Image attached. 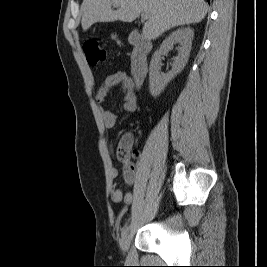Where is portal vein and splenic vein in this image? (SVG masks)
I'll return each instance as SVG.
<instances>
[{
    "label": "portal vein and splenic vein",
    "mask_w": 267,
    "mask_h": 267,
    "mask_svg": "<svg viewBox=\"0 0 267 267\" xmlns=\"http://www.w3.org/2000/svg\"><path fill=\"white\" fill-rule=\"evenodd\" d=\"M141 18L142 19H146L147 18V14L146 13H141Z\"/></svg>",
    "instance_id": "18ae733b"
}]
</instances>
